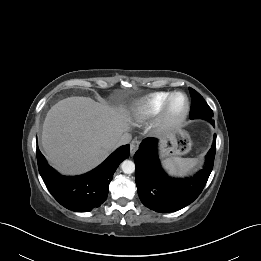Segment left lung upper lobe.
Wrapping results in <instances>:
<instances>
[{
  "instance_id": "left-lung-upper-lobe-1",
  "label": "left lung upper lobe",
  "mask_w": 261,
  "mask_h": 261,
  "mask_svg": "<svg viewBox=\"0 0 261 261\" xmlns=\"http://www.w3.org/2000/svg\"><path fill=\"white\" fill-rule=\"evenodd\" d=\"M190 95L192 97L190 119H212L213 112L208 104L205 102L203 97L194 89L189 87Z\"/></svg>"
}]
</instances>
